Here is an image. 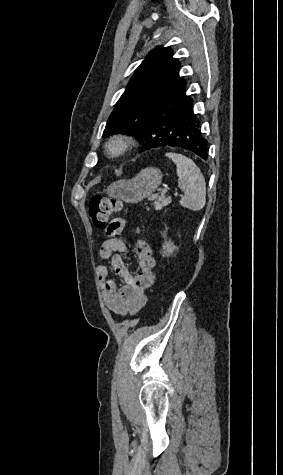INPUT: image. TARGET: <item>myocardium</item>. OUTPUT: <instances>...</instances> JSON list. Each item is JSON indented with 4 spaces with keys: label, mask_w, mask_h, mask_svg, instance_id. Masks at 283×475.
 Returning a JSON list of instances; mask_svg holds the SVG:
<instances>
[{
    "label": "myocardium",
    "mask_w": 283,
    "mask_h": 475,
    "mask_svg": "<svg viewBox=\"0 0 283 475\" xmlns=\"http://www.w3.org/2000/svg\"><path fill=\"white\" fill-rule=\"evenodd\" d=\"M134 147L133 137L124 132L111 135L104 144V152L111 158H119L126 155Z\"/></svg>",
    "instance_id": "f54148a6"
}]
</instances>
